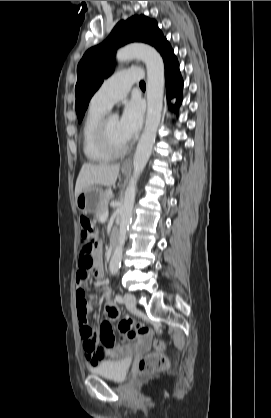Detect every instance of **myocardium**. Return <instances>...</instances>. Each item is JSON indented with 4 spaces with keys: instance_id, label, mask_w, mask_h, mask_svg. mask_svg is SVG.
I'll use <instances>...</instances> for the list:
<instances>
[{
    "instance_id": "myocardium-1",
    "label": "myocardium",
    "mask_w": 271,
    "mask_h": 418,
    "mask_svg": "<svg viewBox=\"0 0 271 418\" xmlns=\"http://www.w3.org/2000/svg\"><path fill=\"white\" fill-rule=\"evenodd\" d=\"M112 116L106 114L98 124L96 130V142L98 146L111 156H120L127 152L129 146L127 142L122 145H116L110 137L109 120Z\"/></svg>"
}]
</instances>
